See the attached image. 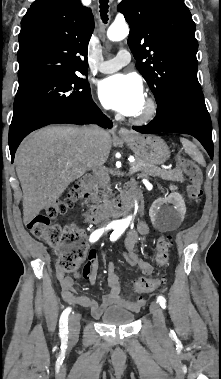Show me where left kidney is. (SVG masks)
Here are the masks:
<instances>
[{
  "instance_id": "left-kidney-1",
  "label": "left kidney",
  "mask_w": 221,
  "mask_h": 379,
  "mask_svg": "<svg viewBox=\"0 0 221 379\" xmlns=\"http://www.w3.org/2000/svg\"><path fill=\"white\" fill-rule=\"evenodd\" d=\"M170 189L172 193L168 197L167 201L172 206L164 205L166 201L157 199L153 202L149 216L153 225L161 230H172L178 227L183 221L186 213V206L182 195H180L176 186L171 185Z\"/></svg>"
}]
</instances>
